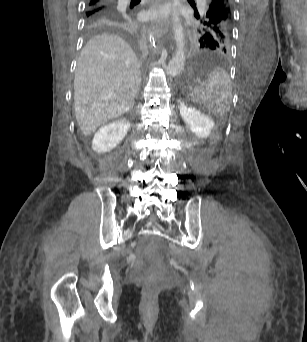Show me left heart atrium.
<instances>
[{"mask_svg": "<svg viewBox=\"0 0 307 342\" xmlns=\"http://www.w3.org/2000/svg\"><path fill=\"white\" fill-rule=\"evenodd\" d=\"M151 16L154 19L163 20L167 16V11L165 9L154 10Z\"/></svg>", "mask_w": 307, "mask_h": 342, "instance_id": "left-heart-atrium-1", "label": "left heart atrium"}]
</instances>
